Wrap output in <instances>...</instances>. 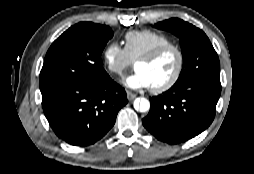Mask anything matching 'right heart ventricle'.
I'll list each match as a JSON object with an SVG mask.
<instances>
[{
	"instance_id": "e07e8e85",
	"label": "right heart ventricle",
	"mask_w": 254,
	"mask_h": 174,
	"mask_svg": "<svg viewBox=\"0 0 254 174\" xmlns=\"http://www.w3.org/2000/svg\"><path fill=\"white\" fill-rule=\"evenodd\" d=\"M169 43H172L169 36L150 29L133 30L125 35V49L131 60L140 59L157 47Z\"/></svg>"
}]
</instances>
